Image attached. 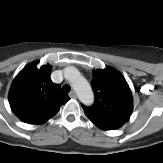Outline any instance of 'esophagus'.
I'll use <instances>...</instances> for the list:
<instances>
[{"instance_id": "1", "label": "esophagus", "mask_w": 163, "mask_h": 163, "mask_svg": "<svg viewBox=\"0 0 163 163\" xmlns=\"http://www.w3.org/2000/svg\"><path fill=\"white\" fill-rule=\"evenodd\" d=\"M69 97L75 99V98H77V95H76V93L74 91H71L69 93Z\"/></svg>"}]
</instances>
